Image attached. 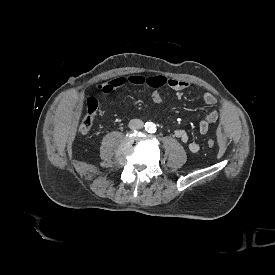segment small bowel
<instances>
[{
    "label": "small bowel",
    "mask_w": 275,
    "mask_h": 275,
    "mask_svg": "<svg viewBox=\"0 0 275 275\" xmlns=\"http://www.w3.org/2000/svg\"><path fill=\"white\" fill-rule=\"evenodd\" d=\"M134 85L140 86L147 84L150 87L155 88V90L151 94V99L153 103L159 105L162 102V96L157 91V88L162 86H169L176 92V96L181 98L183 92L188 88L189 84L184 80L174 79V78H167L162 75H155L149 78H144L142 75L133 74L127 77H117L107 82L102 83L99 86V90L101 93L109 94L114 90L126 85ZM203 102L208 106H215L217 100L216 97L210 93L205 92L202 95ZM219 114L218 111L212 110L210 111L200 122L198 125V131L200 134L205 135L209 132L211 126L216 123L218 120ZM175 136L184 144H186L189 150L193 153L199 150L198 143L194 141H190L188 133L183 129H178L175 131Z\"/></svg>",
    "instance_id": "obj_1"
}]
</instances>
